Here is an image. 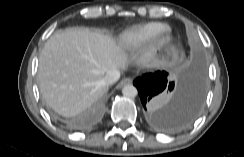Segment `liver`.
I'll use <instances>...</instances> for the list:
<instances>
[{
	"instance_id": "obj_1",
	"label": "liver",
	"mask_w": 244,
	"mask_h": 157,
	"mask_svg": "<svg viewBox=\"0 0 244 157\" xmlns=\"http://www.w3.org/2000/svg\"><path fill=\"white\" fill-rule=\"evenodd\" d=\"M126 65L123 45L110 35L84 27L67 28L52 35L40 53V92L55 112L72 117L107 92L102 81L110 71ZM143 65L155 64L146 60Z\"/></svg>"
}]
</instances>
